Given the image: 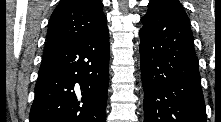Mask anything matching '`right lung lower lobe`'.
I'll use <instances>...</instances> for the list:
<instances>
[{
  "instance_id": "98d812e1",
  "label": "right lung lower lobe",
  "mask_w": 221,
  "mask_h": 122,
  "mask_svg": "<svg viewBox=\"0 0 221 122\" xmlns=\"http://www.w3.org/2000/svg\"><path fill=\"white\" fill-rule=\"evenodd\" d=\"M109 32L44 56L29 122H105Z\"/></svg>"
}]
</instances>
